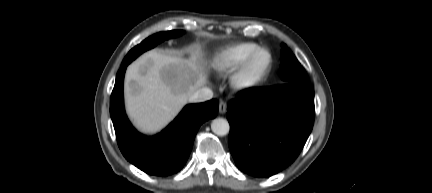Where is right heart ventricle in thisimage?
I'll return each instance as SVG.
<instances>
[{
  "label": "right heart ventricle",
  "instance_id": "obj_1",
  "mask_svg": "<svg viewBox=\"0 0 432 193\" xmlns=\"http://www.w3.org/2000/svg\"><path fill=\"white\" fill-rule=\"evenodd\" d=\"M259 45L254 42H240L217 51L211 61V67L221 75L237 69Z\"/></svg>",
  "mask_w": 432,
  "mask_h": 193
}]
</instances>
